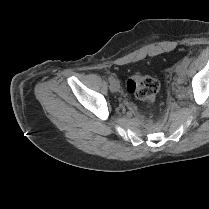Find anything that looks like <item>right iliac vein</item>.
<instances>
[{"mask_svg":"<svg viewBox=\"0 0 209 209\" xmlns=\"http://www.w3.org/2000/svg\"><path fill=\"white\" fill-rule=\"evenodd\" d=\"M119 88H120V84H119V81L118 80H114L110 83V90L112 92H117L119 91Z\"/></svg>","mask_w":209,"mask_h":209,"instance_id":"obj_1","label":"right iliac vein"}]
</instances>
